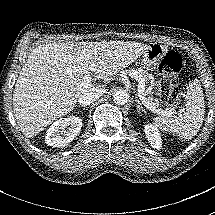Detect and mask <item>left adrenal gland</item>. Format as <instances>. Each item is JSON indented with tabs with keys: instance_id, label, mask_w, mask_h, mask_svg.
Masks as SVG:
<instances>
[{
	"instance_id": "obj_1",
	"label": "left adrenal gland",
	"mask_w": 215,
	"mask_h": 215,
	"mask_svg": "<svg viewBox=\"0 0 215 215\" xmlns=\"http://www.w3.org/2000/svg\"><path fill=\"white\" fill-rule=\"evenodd\" d=\"M135 103L137 104V109L138 110H142L141 106H140V102L137 96H135Z\"/></svg>"
}]
</instances>
